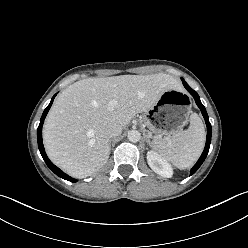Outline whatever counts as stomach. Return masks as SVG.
<instances>
[{"instance_id":"obj_1","label":"stomach","mask_w":248,"mask_h":248,"mask_svg":"<svg viewBox=\"0 0 248 248\" xmlns=\"http://www.w3.org/2000/svg\"><path fill=\"white\" fill-rule=\"evenodd\" d=\"M189 113L190 100L187 94L179 89H170L145 112L144 123L154 134L153 141L167 140L168 136L182 130L188 121Z\"/></svg>"}]
</instances>
